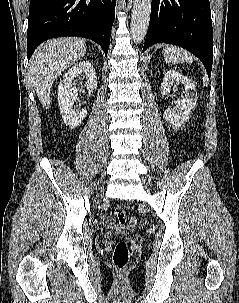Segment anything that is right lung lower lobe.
I'll return each mask as SVG.
<instances>
[{
  "label": "right lung lower lobe",
  "mask_w": 239,
  "mask_h": 303,
  "mask_svg": "<svg viewBox=\"0 0 239 303\" xmlns=\"http://www.w3.org/2000/svg\"><path fill=\"white\" fill-rule=\"evenodd\" d=\"M116 0H31L27 30L28 60L39 44L61 36L98 43L107 55Z\"/></svg>",
  "instance_id": "98d812e1"
}]
</instances>
